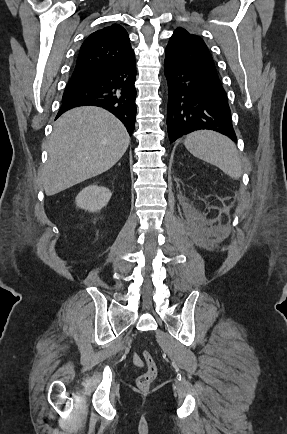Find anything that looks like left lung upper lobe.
Instances as JSON below:
<instances>
[{"label": "left lung upper lobe", "mask_w": 287, "mask_h": 434, "mask_svg": "<svg viewBox=\"0 0 287 434\" xmlns=\"http://www.w3.org/2000/svg\"><path fill=\"white\" fill-rule=\"evenodd\" d=\"M165 55L202 64L216 70L213 58L204 41L182 28L174 31L166 47Z\"/></svg>", "instance_id": "obj_1"}]
</instances>
